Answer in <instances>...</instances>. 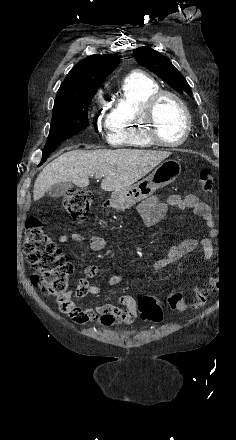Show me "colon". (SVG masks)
Masks as SVG:
<instances>
[{
  "instance_id": "colon-1",
  "label": "colon",
  "mask_w": 236,
  "mask_h": 440,
  "mask_svg": "<svg viewBox=\"0 0 236 440\" xmlns=\"http://www.w3.org/2000/svg\"><path fill=\"white\" fill-rule=\"evenodd\" d=\"M199 184L203 191H211L213 187L212 171L208 167L201 169ZM63 208L74 222H82L90 209L91 193L88 190H70L63 197ZM24 251L28 263L36 270L32 282L43 292L56 298L61 310H66L72 301L68 289L69 276L73 266L67 255L58 247L50 235L42 230L39 218H30L26 222L24 235ZM222 273L212 276V285H219L224 281ZM209 281L207 278L204 280ZM209 288H197L191 300L182 293L175 292L168 297V305L172 311L186 312L203 307L208 299ZM138 310L143 320L159 323L163 318V311L159 301L151 296H142L138 302Z\"/></svg>"
}]
</instances>
